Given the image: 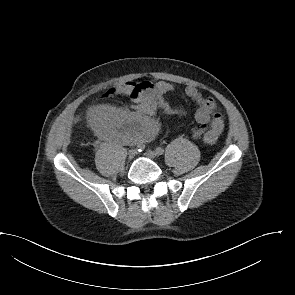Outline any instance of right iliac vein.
<instances>
[{
    "mask_svg": "<svg viewBox=\"0 0 295 295\" xmlns=\"http://www.w3.org/2000/svg\"><path fill=\"white\" fill-rule=\"evenodd\" d=\"M137 154V151L134 149L129 150L128 152V158L129 159H133L135 157V155Z\"/></svg>",
    "mask_w": 295,
    "mask_h": 295,
    "instance_id": "right-iliac-vein-1",
    "label": "right iliac vein"
}]
</instances>
